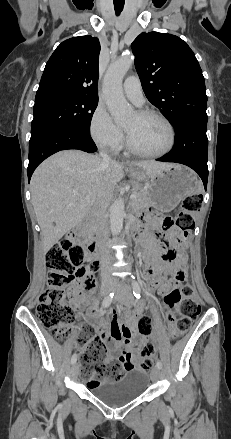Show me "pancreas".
<instances>
[{"label":"pancreas","instance_id":"pancreas-1","mask_svg":"<svg viewBox=\"0 0 231 439\" xmlns=\"http://www.w3.org/2000/svg\"><path fill=\"white\" fill-rule=\"evenodd\" d=\"M135 194L136 198H134L132 201V207L134 210L151 204L150 195L147 190L138 189Z\"/></svg>","mask_w":231,"mask_h":439}]
</instances>
